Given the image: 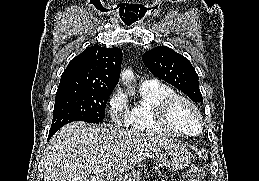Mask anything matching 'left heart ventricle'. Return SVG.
Segmentation results:
<instances>
[{"label": "left heart ventricle", "instance_id": "b2bd125f", "mask_svg": "<svg viewBox=\"0 0 259 181\" xmlns=\"http://www.w3.org/2000/svg\"><path fill=\"white\" fill-rule=\"evenodd\" d=\"M173 122L177 127L186 132H194L197 129V118L185 104H179L175 108Z\"/></svg>", "mask_w": 259, "mask_h": 181}]
</instances>
